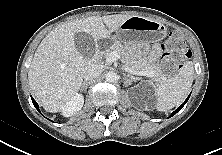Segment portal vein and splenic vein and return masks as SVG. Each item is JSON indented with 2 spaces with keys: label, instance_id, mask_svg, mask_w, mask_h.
Returning a JSON list of instances; mask_svg holds the SVG:
<instances>
[{
  "label": "portal vein and splenic vein",
  "instance_id": "18ae733b",
  "mask_svg": "<svg viewBox=\"0 0 222 155\" xmlns=\"http://www.w3.org/2000/svg\"><path fill=\"white\" fill-rule=\"evenodd\" d=\"M118 59H120V55L116 51H113L106 57V62L113 63V62L117 61ZM125 70L128 71L129 73H133V71L131 69H129L128 67H125ZM137 74L141 75V76H147V77H154L155 76V72L151 71V70L140 71Z\"/></svg>",
  "mask_w": 222,
  "mask_h": 155
}]
</instances>
